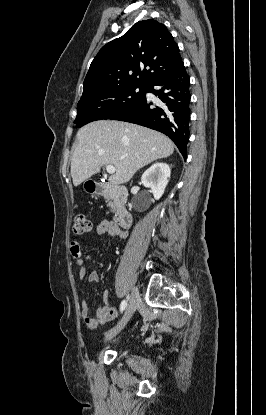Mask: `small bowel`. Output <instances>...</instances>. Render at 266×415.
<instances>
[{
    "label": "small bowel",
    "mask_w": 266,
    "mask_h": 415,
    "mask_svg": "<svg viewBox=\"0 0 266 415\" xmlns=\"http://www.w3.org/2000/svg\"><path fill=\"white\" fill-rule=\"evenodd\" d=\"M95 232L97 236L102 237L104 235H109L111 237H115L120 240H125L128 236L127 231L119 228L114 223L109 220H101L95 228ZM94 244V242H87L86 245ZM70 252L74 259L76 260L77 264L83 265L86 261H88L91 257H87L86 259L82 258V245L78 242H71L70 244ZM86 276L85 269H82L79 272V278L83 279ZM88 282H97L99 281V274L96 271L91 272L87 277ZM103 301L104 306L98 309L95 316L90 314V308L86 301H82L81 303V318L83 323L89 328H96L99 325H103L111 320H113L117 316V310L112 307L109 303V292L105 291L103 294Z\"/></svg>",
    "instance_id": "c3829d8e"
}]
</instances>
